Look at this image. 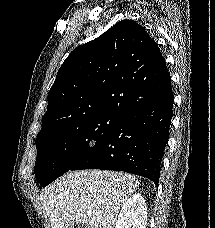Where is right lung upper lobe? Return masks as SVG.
I'll use <instances>...</instances> for the list:
<instances>
[{
	"instance_id": "obj_1",
	"label": "right lung upper lobe",
	"mask_w": 215,
	"mask_h": 228,
	"mask_svg": "<svg viewBox=\"0 0 215 228\" xmlns=\"http://www.w3.org/2000/svg\"><path fill=\"white\" fill-rule=\"evenodd\" d=\"M169 76L147 31L122 20L65 59L49 91L41 131L100 114L124 116L166 94Z\"/></svg>"
}]
</instances>
